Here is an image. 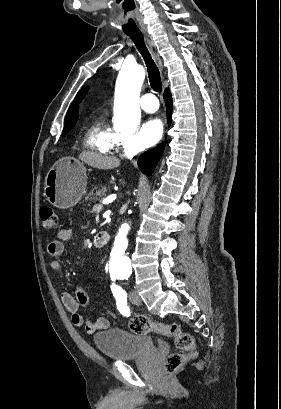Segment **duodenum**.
Returning <instances> with one entry per match:
<instances>
[{"instance_id":"1","label":"duodenum","mask_w":281,"mask_h":409,"mask_svg":"<svg viewBox=\"0 0 281 409\" xmlns=\"http://www.w3.org/2000/svg\"><path fill=\"white\" fill-rule=\"evenodd\" d=\"M94 243L97 248H102L108 243L107 233H98L94 237Z\"/></svg>"}]
</instances>
